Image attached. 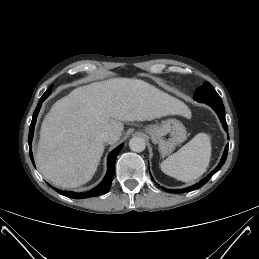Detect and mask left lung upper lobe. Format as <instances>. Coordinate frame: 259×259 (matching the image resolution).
I'll return each instance as SVG.
<instances>
[{
    "instance_id": "obj_1",
    "label": "left lung upper lobe",
    "mask_w": 259,
    "mask_h": 259,
    "mask_svg": "<svg viewBox=\"0 0 259 259\" xmlns=\"http://www.w3.org/2000/svg\"><path fill=\"white\" fill-rule=\"evenodd\" d=\"M194 99L198 102H219L222 101L218 93L209 82H205L194 94Z\"/></svg>"
}]
</instances>
